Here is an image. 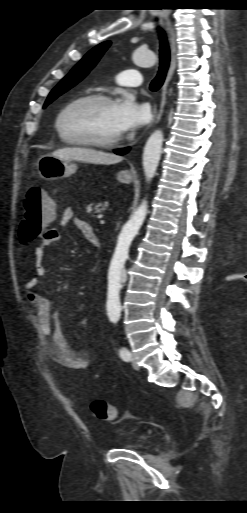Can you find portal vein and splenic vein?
Returning a JSON list of instances; mask_svg holds the SVG:
<instances>
[{
	"instance_id": "obj_1",
	"label": "portal vein and splenic vein",
	"mask_w": 247,
	"mask_h": 513,
	"mask_svg": "<svg viewBox=\"0 0 247 513\" xmlns=\"http://www.w3.org/2000/svg\"><path fill=\"white\" fill-rule=\"evenodd\" d=\"M98 218L101 219V216H99ZM104 223H105V221L101 219L100 224H104Z\"/></svg>"
}]
</instances>
